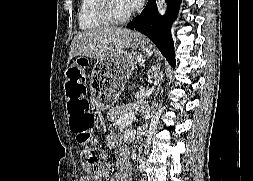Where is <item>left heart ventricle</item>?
Here are the masks:
<instances>
[{"label":"left heart ventricle","mask_w":253,"mask_h":181,"mask_svg":"<svg viewBox=\"0 0 253 181\" xmlns=\"http://www.w3.org/2000/svg\"><path fill=\"white\" fill-rule=\"evenodd\" d=\"M111 7L113 13L117 16H122L130 11L124 0H111Z\"/></svg>","instance_id":"left-heart-ventricle-1"}]
</instances>
